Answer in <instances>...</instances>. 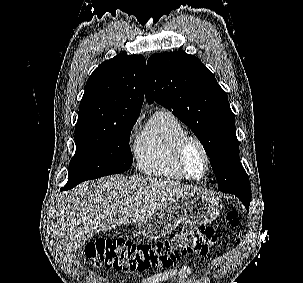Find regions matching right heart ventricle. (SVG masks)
<instances>
[{
	"mask_svg": "<svg viewBox=\"0 0 303 283\" xmlns=\"http://www.w3.org/2000/svg\"><path fill=\"white\" fill-rule=\"evenodd\" d=\"M186 135V129L175 115L167 111L155 112L136 143L139 170L165 179L188 180L177 158L178 145Z\"/></svg>",
	"mask_w": 303,
	"mask_h": 283,
	"instance_id": "right-heart-ventricle-1",
	"label": "right heart ventricle"
}]
</instances>
